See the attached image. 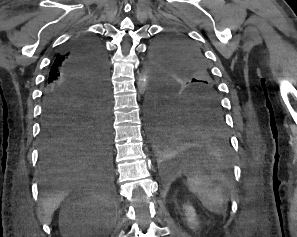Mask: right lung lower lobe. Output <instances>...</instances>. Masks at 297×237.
Returning <instances> with one entry per match:
<instances>
[{"mask_svg": "<svg viewBox=\"0 0 297 237\" xmlns=\"http://www.w3.org/2000/svg\"><path fill=\"white\" fill-rule=\"evenodd\" d=\"M68 80L46 87L40 135V170L109 173L112 167L108 64L100 41L80 34L68 47Z\"/></svg>", "mask_w": 297, "mask_h": 237, "instance_id": "1", "label": "right lung lower lobe"}]
</instances>
